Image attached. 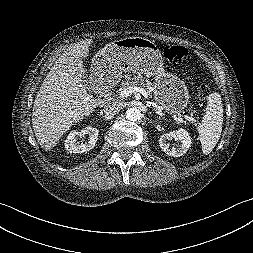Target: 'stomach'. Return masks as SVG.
Instances as JSON below:
<instances>
[{"instance_id":"0dacf381","label":"stomach","mask_w":253,"mask_h":253,"mask_svg":"<svg viewBox=\"0 0 253 253\" xmlns=\"http://www.w3.org/2000/svg\"><path fill=\"white\" fill-rule=\"evenodd\" d=\"M122 71L153 76L155 98L166 113L178 115L187 107L189 92L185 82L165 71L161 52L153 41L143 37L115 40L93 59L94 77H118Z\"/></svg>"}]
</instances>
